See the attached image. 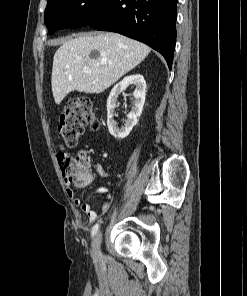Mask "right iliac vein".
<instances>
[{"mask_svg": "<svg viewBox=\"0 0 247 296\" xmlns=\"http://www.w3.org/2000/svg\"><path fill=\"white\" fill-rule=\"evenodd\" d=\"M101 233L98 232L92 240L93 253L96 258L100 256Z\"/></svg>", "mask_w": 247, "mask_h": 296, "instance_id": "right-iliac-vein-1", "label": "right iliac vein"}]
</instances>
